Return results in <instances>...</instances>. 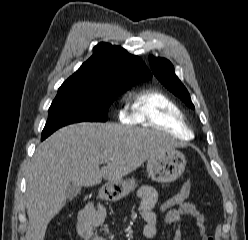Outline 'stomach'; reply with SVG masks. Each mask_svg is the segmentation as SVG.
<instances>
[{
	"instance_id": "1",
	"label": "stomach",
	"mask_w": 248,
	"mask_h": 240,
	"mask_svg": "<svg viewBox=\"0 0 248 240\" xmlns=\"http://www.w3.org/2000/svg\"><path fill=\"white\" fill-rule=\"evenodd\" d=\"M185 167L184 154L175 149L149 158L146 166L148 175L158 183L175 181L182 175ZM135 187L136 181L134 178L109 181L102 187L99 197L107 201H117L127 196Z\"/></svg>"
}]
</instances>
